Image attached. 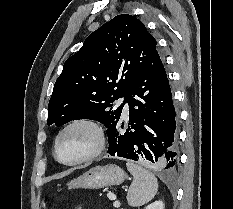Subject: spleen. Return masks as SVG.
Masks as SVG:
<instances>
[{
  "mask_svg": "<svg viewBox=\"0 0 233 209\" xmlns=\"http://www.w3.org/2000/svg\"><path fill=\"white\" fill-rule=\"evenodd\" d=\"M133 176V182L127 194V202L132 207L142 206L151 201L157 193L158 181L150 171L133 163H126Z\"/></svg>",
  "mask_w": 233,
  "mask_h": 209,
  "instance_id": "obj_1",
  "label": "spleen"
}]
</instances>
